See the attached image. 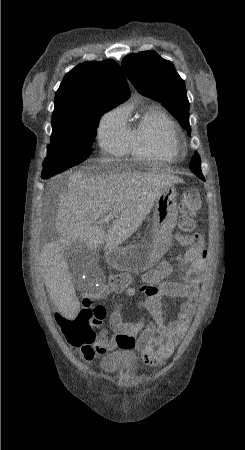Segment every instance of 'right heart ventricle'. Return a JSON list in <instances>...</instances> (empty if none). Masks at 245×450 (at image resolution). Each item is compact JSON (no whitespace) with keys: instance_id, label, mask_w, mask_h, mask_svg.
Masks as SVG:
<instances>
[{"instance_id":"obj_1","label":"right heart ventricle","mask_w":245,"mask_h":450,"mask_svg":"<svg viewBox=\"0 0 245 450\" xmlns=\"http://www.w3.org/2000/svg\"><path fill=\"white\" fill-rule=\"evenodd\" d=\"M125 120L130 111H124ZM169 120L165 113L157 106L143 111L134 124L128 125L127 152L142 159L172 160L176 150L168 141L165 132V122Z\"/></svg>"}]
</instances>
